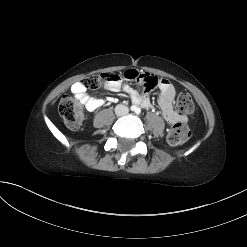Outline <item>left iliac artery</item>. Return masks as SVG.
<instances>
[{"label": "left iliac artery", "mask_w": 247, "mask_h": 247, "mask_svg": "<svg viewBox=\"0 0 247 247\" xmlns=\"http://www.w3.org/2000/svg\"><path fill=\"white\" fill-rule=\"evenodd\" d=\"M135 112H136V114H140L141 110H140L139 108H137V109L135 110Z\"/></svg>", "instance_id": "1"}]
</instances>
